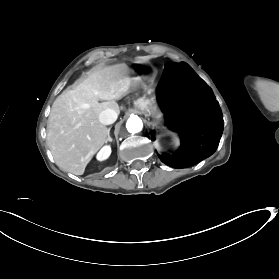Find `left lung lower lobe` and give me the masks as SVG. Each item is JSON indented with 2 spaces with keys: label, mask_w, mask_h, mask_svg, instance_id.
Instances as JSON below:
<instances>
[{
  "label": "left lung lower lobe",
  "mask_w": 279,
  "mask_h": 279,
  "mask_svg": "<svg viewBox=\"0 0 279 279\" xmlns=\"http://www.w3.org/2000/svg\"><path fill=\"white\" fill-rule=\"evenodd\" d=\"M157 99L168 126L181 137V147L173 155L158 154L163 163L186 168L216 151L223 130L221 111L211 89L186 63L166 64Z\"/></svg>",
  "instance_id": "obj_1"
}]
</instances>
